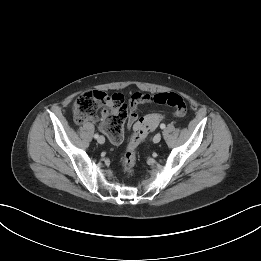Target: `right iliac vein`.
Masks as SVG:
<instances>
[{
  "label": "right iliac vein",
  "mask_w": 261,
  "mask_h": 261,
  "mask_svg": "<svg viewBox=\"0 0 261 261\" xmlns=\"http://www.w3.org/2000/svg\"><path fill=\"white\" fill-rule=\"evenodd\" d=\"M97 141H98L99 144H104V142H105L104 136L98 137Z\"/></svg>",
  "instance_id": "right-iliac-vein-1"
}]
</instances>
